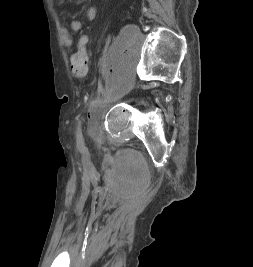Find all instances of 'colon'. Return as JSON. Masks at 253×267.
<instances>
[{"instance_id":"colon-1","label":"colon","mask_w":253,"mask_h":267,"mask_svg":"<svg viewBox=\"0 0 253 267\" xmlns=\"http://www.w3.org/2000/svg\"><path fill=\"white\" fill-rule=\"evenodd\" d=\"M86 39L81 38L77 51L71 57L72 73L76 77H84L88 71V55L85 48Z\"/></svg>"}]
</instances>
